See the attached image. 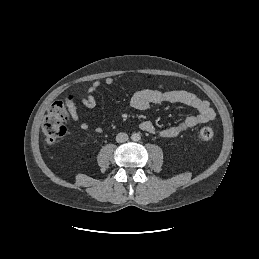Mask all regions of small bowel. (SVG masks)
<instances>
[{"instance_id": "1", "label": "small bowel", "mask_w": 259, "mask_h": 259, "mask_svg": "<svg viewBox=\"0 0 259 259\" xmlns=\"http://www.w3.org/2000/svg\"><path fill=\"white\" fill-rule=\"evenodd\" d=\"M105 84L111 86L114 84V79L108 77L105 79ZM101 82L95 81L88 88L87 94L82 97V103L87 108H94L96 106L95 93L100 88ZM163 103H180L191 108L197 112L187 116L182 122L175 125L158 129L152 122L143 121L139 124V128L145 132L158 134L165 138H174L193 128L199 124L207 123L214 119L215 112L210 106L209 102L201 99L194 93L185 90H139L131 98V105L133 108L143 111L150 108L152 105H160ZM71 117L74 121H79L80 117L72 102L68 103ZM80 127L83 130L89 129V124L83 122ZM101 128H95L96 132H101Z\"/></svg>"}]
</instances>
